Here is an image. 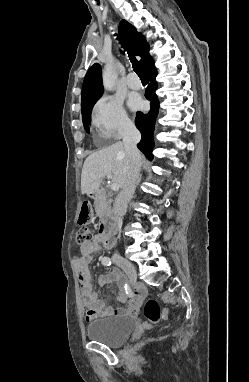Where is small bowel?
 <instances>
[{
    "label": "small bowel",
    "instance_id": "1",
    "mask_svg": "<svg viewBox=\"0 0 249 382\" xmlns=\"http://www.w3.org/2000/svg\"><path fill=\"white\" fill-rule=\"evenodd\" d=\"M112 238L105 237L101 232L91 236L90 240L80 245V256L73 259V265L77 273L80 284L81 300L84 310V318L87 322H92L99 317L122 316L124 314H136L145 294V288L142 284L135 286V298L128 304L127 308L115 309L106 307L103 300L98 296L92 284V276L89 268L94 254L102 248H111L114 245ZM109 283H115L119 288V299L125 300L126 278L119 271H112L99 277V284L104 286Z\"/></svg>",
    "mask_w": 249,
    "mask_h": 382
}]
</instances>
